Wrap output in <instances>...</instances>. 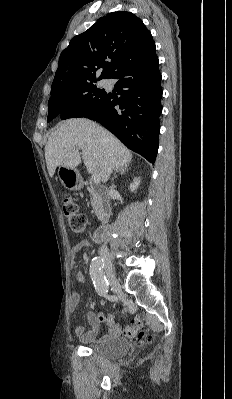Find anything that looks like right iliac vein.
Masks as SVG:
<instances>
[{"label":"right iliac vein","instance_id":"right-iliac-vein-1","mask_svg":"<svg viewBox=\"0 0 232 399\" xmlns=\"http://www.w3.org/2000/svg\"><path fill=\"white\" fill-rule=\"evenodd\" d=\"M104 262H105L104 272L107 273L111 285H114L115 288H119L120 283L118 282L116 276L114 275L113 266H112L113 262L112 261H104ZM117 294H119L120 296V301H123L124 299L123 291H117Z\"/></svg>","mask_w":232,"mask_h":399}]
</instances>
